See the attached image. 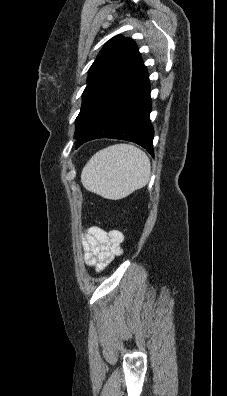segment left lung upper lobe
<instances>
[{
    "label": "left lung upper lobe",
    "mask_w": 227,
    "mask_h": 396,
    "mask_svg": "<svg viewBox=\"0 0 227 396\" xmlns=\"http://www.w3.org/2000/svg\"><path fill=\"white\" fill-rule=\"evenodd\" d=\"M143 64L137 45L121 35L109 40L88 72L82 107L76 118V139L96 105Z\"/></svg>",
    "instance_id": "1"
}]
</instances>
